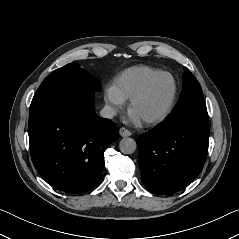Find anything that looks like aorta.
<instances>
[{"label":"aorta","mask_w":239,"mask_h":239,"mask_svg":"<svg viewBox=\"0 0 239 239\" xmlns=\"http://www.w3.org/2000/svg\"><path fill=\"white\" fill-rule=\"evenodd\" d=\"M136 148L137 144L132 138L126 137L119 142V149L123 154H132Z\"/></svg>","instance_id":"aorta-1"}]
</instances>
